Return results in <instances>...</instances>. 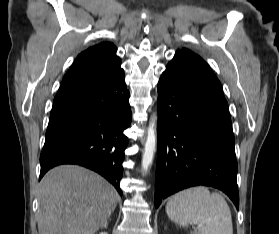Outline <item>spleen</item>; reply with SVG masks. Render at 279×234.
Segmentation results:
<instances>
[{
  "instance_id": "1",
  "label": "spleen",
  "mask_w": 279,
  "mask_h": 234,
  "mask_svg": "<svg viewBox=\"0 0 279 234\" xmlns=\"http://www.w3.org/2000/svg\"><path fill=\"white\" fill-rule=\"evenodd\" d=\"M168 217L181 226L198 225L195 234H233L232 217L226 200L203 186L171 196L166 205Z\"/></svg>"
}]
</instances>
